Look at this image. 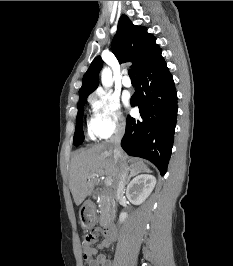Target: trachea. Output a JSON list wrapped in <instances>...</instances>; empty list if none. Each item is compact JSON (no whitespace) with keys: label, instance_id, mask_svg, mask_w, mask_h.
<instances>
[{"label":"trachea","instance_id":"1","mask_svg":"<svg viewBox=\"0 0 233 266\" xmlns=\"http://www.w3.org/2000/svg\"><path fill=\"white\" fill-rule=\"evenodd\" d=\"M129 77L131 78V79H135V74H134V71L131 69V70H129Z\"/></svg>","mask_w":233,"mask_h":266}]
</instances>
